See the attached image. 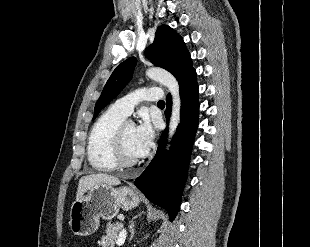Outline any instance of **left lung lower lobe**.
<instances>
[{
	"label": "left lung lower lobe",
	"instance_id": "obj_1",
	"mask_svg": "<svg viewBox=\"0 0 310 247\" xmlns=\"http://www.w3.org/2000/svg\"><path fill=\"white\" fill-rule=\"evenodd\" d=\"M181 120L172 140L171 150L164 153L167 130L161 135L156 156L135 180V186L154 204L166 209L173 221L179 211L187 178L190 154L198 127V84L192 70L180 82ZM171 96H167L165 114L170 115Z\"/></svg>",
	"mask_w": 310,
	"mask_h": 247
}]
</instances>
